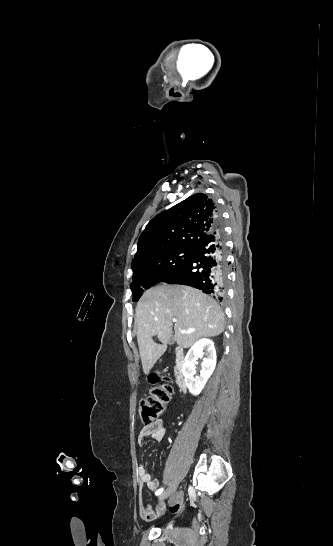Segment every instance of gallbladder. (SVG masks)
Segmentation results:
<instances>
[{
  "label": "gallbladder",
  "instance_id": "bac80fb5",
  "mask_svg": "<svg viewBox=\"0 0 333 546\" xmlns=\"http://www.w3.org/2000/svg\"><path fill=\"white\" fill-rule=\"evenodd\" d=\"M174 342H175V341H174V337H171V339H170V341H169V344L172 345V344H174Z\"/></svg>",
  "mask_w": 333,
  "mask_h": 546
}]
</instances>
